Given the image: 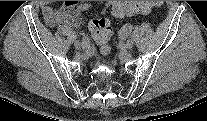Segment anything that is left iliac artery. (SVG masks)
Here are the masks:
<instances>
[{
	"label": "left iliac artery",
	"instance_id": "1",
	"mask_svg": "<svg viewBox=\"0 0 207 121\" xmlns=\"http://www.w3.org/2000/svg\"><path fill=\"white\" fill-rule=\"evenodd\" d=\"M131 25L130 24H125L122 29L120 30V32L118 33V38L120 41H126L127 40V35L129 33V31L131 30Z\"/></svg>",
	"mask_w": 207,
	"mask_h": 121
}]
</instances>
